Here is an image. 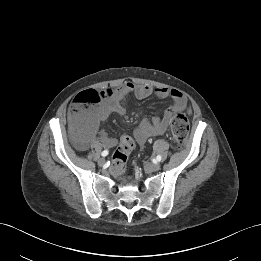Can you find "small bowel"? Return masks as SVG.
Returning a JSON list of instances; mask_svg holds the SVG:
<instances>
[{
    "label": "small bowel",
    "mask_w": 261,
    "mask_h": 261,
    "mask_svg": "<svg viewBox=\"0 0 261 261\" xmlns=\"http://www.w3.org/2000/svg\"><path fill=\"white\" fill-rule=\"evenodd\" d=\"M152 95L158 98L170 97L173 104L162 117L143 120L135 129L134 138L142 147L150 137L165 133L174 113L187 110L184 95L177 89L154 88L150 85L125 82L118 87H109L101 91V103L94 108L85 132L77 141L78 148L85 149L88 146L98 127L105 123L111 114L124 115L126 113V100L129 96L143 99ZM99 142L103 147L111 148L117 144V139L105 130H101Z\"/></svg>",
    "instance_id": "c3829d8e"
}]
</instances>
